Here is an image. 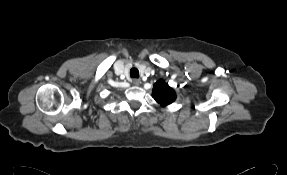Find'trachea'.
<instances>
[{"label":"trachea","instance_id":"trachea-1","mask_svg":"<svg viewBox=\"0 0 287 175\" xmlns=\"http://www.w3.org/2000/svg\"><path fill=\"white\" fill-rule=\"evenodd\" d=\"M130 76L132 78H139V71H138V69L137 68H132L130 70Z\"/></svg>","mask_w":287,"mask_h":175}]
</instances>
